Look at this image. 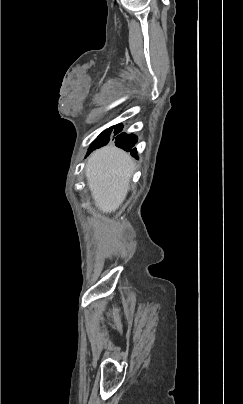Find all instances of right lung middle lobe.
I'll use <instances>...</instances> for the list:
<instances>
[{
    "mask_svg": "<svg viewBox=\"0 0 243 404\" xmlns=\"http://www.w3.org/2000/svg\"><path fill=\"white\" fill-rule=\"evenodd\" d=\"M112 129H113V127L109 128V129H107V130H105L104 132H102V133L94 140V142L91 144V146H90V148H89V150H88V154H89L91 151H93V150H95V149H97V148H99V147H102V146L106 145V144L109 142V140H110V134H111ZM88 154H87V155H88Z\"/></svg>",
    "mask_w": 243,
    "mask_h": 404,
    "instance_id": "obj_1",
    "label": "right lung middle lobe"
}]
</instances>
